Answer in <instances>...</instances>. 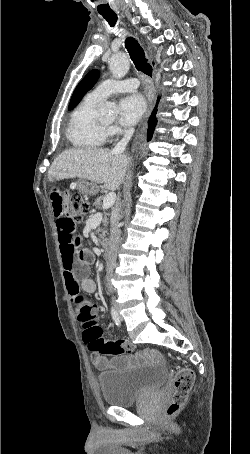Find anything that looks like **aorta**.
<instances>
[{
	"mask_svg": "<svg viewBox=\"0 0 250 454\" xmlns=\"http://www.w3.org/2000/svg\"><path fill=\"white\" fill-rule=\"evenodd\" d=\"M130 63L124 52L114 53L109 60V69L115 78H123L129 71ZM100 111L105 114L114 115L116 106L114 103L105 101L100 105Z\"/></svg>",
	"mask_w": 250,
	"mask_h": 454,
	"instance_id": "1",
	"label": "aorta"
}]
</instances>
